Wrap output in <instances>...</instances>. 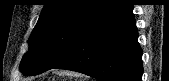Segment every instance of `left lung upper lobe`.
<instances>
[{
	"label": "left lung upper lobe",
	"mask_w": 169,
	"mask_h": 81,
	"mask_svg": "<svg viewBox=\"0 0 169 81\" xmlns=\"http://www.w3.org/2000/svg\"><path fill=\"white\" fill-rule=\"evenodd\" d=\"M116 0H49L28 40L20 63L23 75L52 69L70 51L79 34Z\"/></svg>",
	"instance_id": "obj_1"
}]
</instances>
